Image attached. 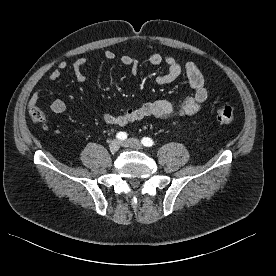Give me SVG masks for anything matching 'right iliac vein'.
<instances>
[{"mask_svg":"<svg viewBox=\"0 0 276 276\" xmlns=\"http://www.w3.org/2000/svg\"><path fill=\"white\" fill-rule=\"evenodd\" d=\"M120 148V142L118 140H113L110 145H109V149L112 153L117 152Z\"/></svg>","mask_w":276,"mask_h":276,"instance_id":"right-iliac-vein-1","label":"right iliac vein"}]
</instances>
